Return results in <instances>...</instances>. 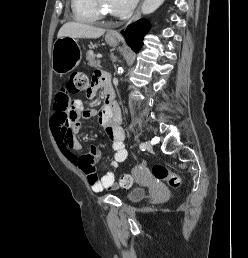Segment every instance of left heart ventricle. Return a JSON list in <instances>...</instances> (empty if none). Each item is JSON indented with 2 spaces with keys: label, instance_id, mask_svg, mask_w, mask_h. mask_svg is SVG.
I'll return each instance as SVG.
<instances>
[{
  "label": "left heart ventricle",
  "instance_id": "obj_1",
  "mask_svg": "<svg viewBox=\"0 0 248 258\" xmlns=\"http://www.w3.org/2000/svg\"><path fill=\"white\" fill-rule=\"evenodd\" d=\"M103 1V4L105 5V6H107V1L106 0H102Z\"/></svg>",
  "mask_w": 248,
  "mask_h": 258
}]
</instances>
